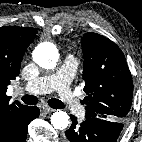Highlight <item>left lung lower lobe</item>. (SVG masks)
<instances>
[{"mask_svg": "<svg viewBox=\"0 0 142 142\" xmlns=\"http://www.w3.org/2000/svg\"><path fill=\"white\" fill-rule=\"evenodd\" d=\"M71 119L72 125L65 131L67 142H116L124 126L123 122L100 118L86 119L82 123L73 115Z\"/></svg>", "mask_w": 142, "mask_h": 142, "instance_id": "obj_1", "label": "left lung lower lobe"}]
</instances>
